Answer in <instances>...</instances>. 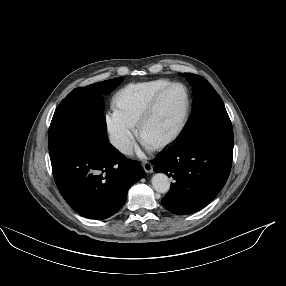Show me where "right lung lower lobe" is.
<instances>
[{
    "label": "right lung lower lobe",
    "instance_id": "obj_1",
    "mask_svg": "<svg viewBox=\"0 0 286 286\" xmlns=\"http://www.w3.org/2000/svg\"><path fill=\"white\" fill-rule=\"evenodd\" d=\"M56 185L65 201L89 219H105L125 203L128 189L144 171L116 149L106 156L88 146H75L50 158Z\"/></svg>",
    "mask_w": 286,
    "mask_h": 286
}]
</instances>
